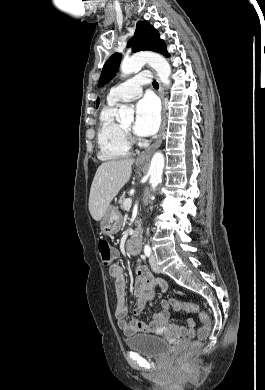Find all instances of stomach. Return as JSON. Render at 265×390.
<instances>
[{"label":"stomach","mask_w":265,"mask_h":390,"mask_svg":"<svg viewBox=\"0 0 265 390\" xmlns=\"http://www.w3.org/2000/svg\"><path fill=\"white\" fill-rule=\"evenodd\" d=\"M122 224L121 214L114 206H109L107 212L102 217L100 222V228L102 233L106 235L116 234Z\"/></svg>","instance_id":"1"}]
</instances>
